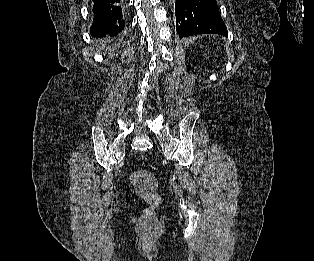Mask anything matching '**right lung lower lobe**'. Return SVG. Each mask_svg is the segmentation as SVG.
Instances as JSON below:
<instances>
[{"label":"right lung lower lobe","instance_id":"right-lung-lower-lobe-1","mask_svg":"<svg viewBox=\"0 0 314 261\" xmlns=\"http://www.w3.org/2000/svg\"><path fill=\"white\" fill-rule=\"evenodd\" d=\"M121 0H93V24L91 35L111 40L122 29Z\"/></svg>","mask_w":314,"mask_h":261}]
</instances>
